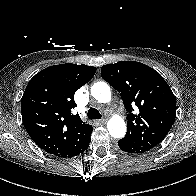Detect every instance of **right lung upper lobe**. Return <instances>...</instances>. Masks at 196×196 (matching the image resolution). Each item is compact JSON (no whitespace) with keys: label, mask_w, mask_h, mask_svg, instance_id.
<instances>
[{"label":"right lung upper lobe","mask_w":196,"mask_h":196,"mask_svg":"<svg viewBox=\"0 0 196 196\" xmlns=\"http://www.w3.org/2000/svg\"><path fill=\"white\" fill-rule=\"evenodd\" d=\"M95 72L92 66L66 63L45 68L30 80L21 99L22 120L42 150L54 155L66 152L92 129L71 110L76 106L75 92Z\"/></svg>","instance_id":"right-lung-upper-lobe-1"}]
</instances>
